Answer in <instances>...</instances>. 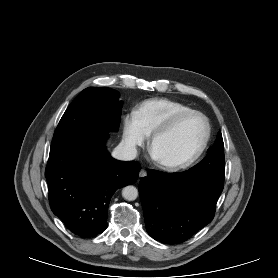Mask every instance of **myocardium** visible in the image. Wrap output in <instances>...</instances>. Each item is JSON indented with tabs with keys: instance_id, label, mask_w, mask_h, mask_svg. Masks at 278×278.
<instances>
[{
	"instance_id": "myocardium-1",
	"label": "myocardium",
	"mask_w": 278,
	"mask_h": 278,
	"mask_svg": "<svg viewBox=\"0 0 278 278\" xmlns=\"http://www.w3.org/2000/svg\"><path fill=\"white\" fill-rule=\"evenodd\" d=\"M190 115L200 116L204 120V123H205V128H206L205 135H204V138H203L200 146L198 147V149L191 156H189L183 160L163 161V160L158 159L154 154V146H155L156 142L160 138H162V137L166 136L167 134H169L170 132H172L184 118H186ZM210 138H211V124H210L208 117L201 111L190 109V110L183 111V112L176 114L169 121H167L165 124H163L162 126L157 128L152 133L150 144H149V151H150V154H151L153 160L159 167H161L165 170H168V171H177V170L185 169V168L191 166L192 164H194L206 150V148L209 144Z\"/></svg>"
}]
</instances>
